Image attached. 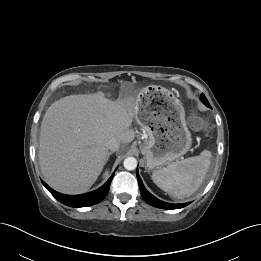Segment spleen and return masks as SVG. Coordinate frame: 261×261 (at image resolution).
<instances>
[{"mask_svg":"<svg viewBox=\"0 0 261 261\" xmlns=\"http://www.w3.org/2000/svg\"><path fill=\"white\" fill-rule=\"evenodd\" d=\"M212 153L204 150L190 157L153 171L152 180L168 194L183 199L190 197L202 184L211 164Z\"/></svg>","mask_w":261,"mask_h":261,"instance_id":"1","label":"spleen"}]
</instances>
